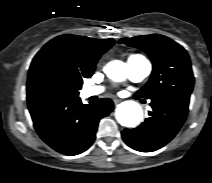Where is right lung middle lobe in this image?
I'll return each instance as SVG.
<instances>
[{"label": "right lung middle lobe", "mask_w": 212, "mask_h": 183, "mask_svg": "<svg viewBox=\"0 0 212 183\" xmlns=\"http://www.w3.org/2000/svg\"><path fill=\"white\" fill-rule=\"evenodd\" d=\"M83 77L76 72L58 64L48 61L43 64L32 80L33 92L42 97L64 96L78 97Z\"/></svg>", "instance_id": "1"}]
</instances>
